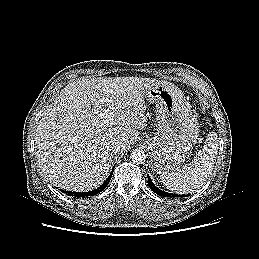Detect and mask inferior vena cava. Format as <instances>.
Returning a JSON list of instances; mask_svg holds the SVG:
<instances>
[{"label":"inferior vena cava","instance_id":"602c4592","mask_svg":"<svg viewBox=\"0 0 259 259\" xmlns=\"http://www.w3.org/2000/svg\"><path fill=\"white\" fill-rule=\"evenodd\" d=\"M110 148H111V151L113 153H117L120 150V148H121V144L120 143H112L110 145Z\"/></svg>","mask_w":259,"mask_h":259}]
</instances>
